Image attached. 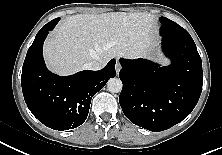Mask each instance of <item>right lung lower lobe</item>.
<instances>
[{"mask_svg":"<svg viewBox=\"0 0 222 155\" xmlns=\"http://www.w3.org/2000/svg\"><path fill=\"white\" fill-rule=\"evenodd\" d=\"M58 21L52 20L37 33L22 69L21 84L25 102L32 114L54 130L80 126L87 118L91 99L116 75L112 59L102 70H85L67 77L47 70L43 59V43Z\"/></svg>","mask_w":222,"mask_h":155,"instance_id":"98d812e1","label":"right lung lower lobe"}]
</instances>
